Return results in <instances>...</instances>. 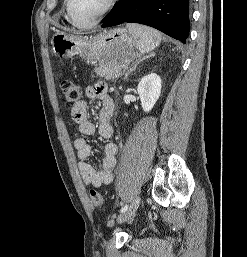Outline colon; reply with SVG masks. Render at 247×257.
I'll return each instance as SVG.
<instances>
[{"label":"colon","mask_w":247,"mask_h":257,"mask_svg":"<svg viewBox=\"0 0 247 257\" xmlns=\"http://www.w3.org/2000/svg\"><path fill=\"white\" fill-rule=\"evenodd\" d=\"M61 90L64 96V100L68 105H75L82 97L81 87L74 83L72 80H63L61 82ZM90 198L94 208L102 209L104 207L103 196L98 191L91 190Z\"/></svg>","instance_id":"1"}]
</instances>
